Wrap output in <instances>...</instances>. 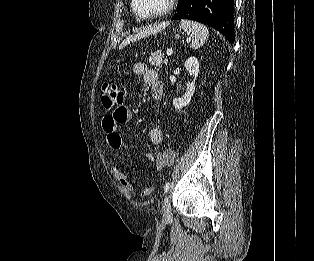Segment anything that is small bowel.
Listing matches in <instances>:
<instances>
[{"instance_id": "1", "label": "small bowel", "mask_w": 314, "mask_h": 261, "mask_svg": "<svg viewBox=\"0 0 314 261\" xmlns=\"http://www.w3.org/2000/svg\"><path fill=\"white\" fill-rule=\"evenodd\" d=\"M134 73L144 78L145 83L151 89V95L154 100H160L163 96V86L159 80L158 73L151 70L143 62H137L133 67ZM132 119V113L126 106H120L117 109H108L107 115L103 117L102 126L107 134V142L111 149L118 151L124 148V141L118 132V127L127 124ZM151 143L159 145L163 142V128L160 123L155 124L149 131ZM147 159L155 163L156 170L162 168L160 163V154H148ZM111 173L118 180L122 188L128 192L134 190V185L127 174H125L116 164L110 165ZM151 188H145L141 194L147 196L151 193Z\"/></svg>"}]
</instances>
